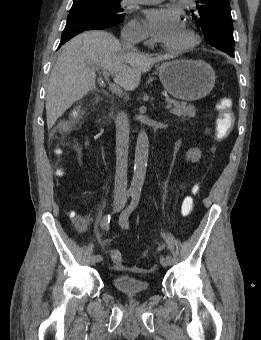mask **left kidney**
<instances>
[{"mask_svg":"<svg viewBox=\"0 0 261 340\" xmlns=\"http://www.w3.org/2000/svg\"><path fill=\"white\" fill-rule=\"evenodd\" d=\"M201 155H202V153H201V151L198 148L190 149L186 153V160L187 161L190 160L193 163H196L201 158Z\"/></svg>","mask_w":261,"mask_h":340,"instance_id":"left-kidney-1","label":"left kidney"}]
</instances>
